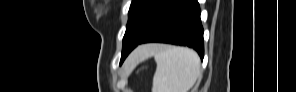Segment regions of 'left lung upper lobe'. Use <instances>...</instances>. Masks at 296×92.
I'll list each match as a JSON object with an SVG mask.
<instances>
[{
	"mask_svg": "<svg viewBox=\"0 0 296 92\" xmlns=\"http://www.w3.org/2000/svg\"><path fill=\"white\" fill-rule=\"evenodd\" d=\"M170 0H132L129 19L123 38L122 57L136 46L153 28Z\"/></svg>",
	"mask_w": 296,
	"mask_h": 92,
	"instance_id": "1",
	"label": "left lung upper lobe"
}]
</instances>
